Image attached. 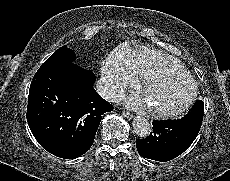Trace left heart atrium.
Wrapping results in <instances>:
<instances>
[{
  "mask_svg": "<svg viewBox=\"0 0 230 181\" xmlns=\"http://www.w3.org/2000/svg\"><path fill=\"white\" fill-rule=\"evenodd\" d=\"M127 103L136 110H144L150 107L146 99L132 95L127 99Z\"/></svg>",
  "mask_w": 230,
  "mask_h": 181,
  "instance_id": "1",
  "label": "left heart atrium"
}]
</instances>
